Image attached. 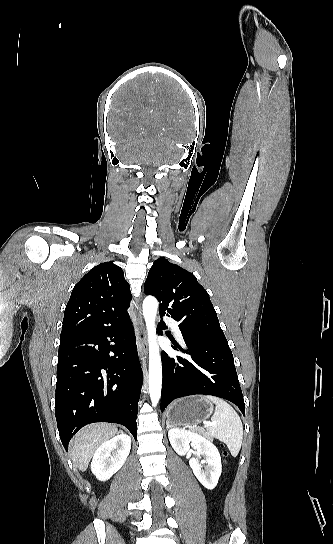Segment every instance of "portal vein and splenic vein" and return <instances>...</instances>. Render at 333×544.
<instances>
[{
  "instance_id": "portal-vein-and-splenic-vein-1",
  "label": "portal vein and splenic vein",
  "mask_w": 333,
  "mask_h": 544,
  "mask_svg": "<svg viewBox=\"0 0 333 544\" xmlns=\"http://www.w3.org/2000/svg\"><path fill=\"white\" fill-rule=\"evenodd\" d=\"M209 425H211V423L207 422V423H206V426H209Z\"/></svg>"
}]
</instances>
